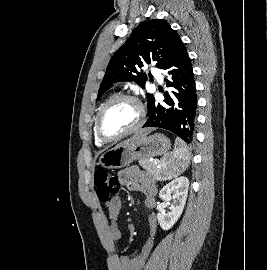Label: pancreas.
I'll return each instance as SVG.
<instances>
[{"label":"pancreas","instance_id":"obj_1","mask_svg":"<svg viewBox=\"0 0 267 270\" xmlns=\"http://www.w3.org/2000/svg\"><path fill=\"white\" fill-rule=\"evenodd\" d=\"M139 164L142 168H144L149 174H151L154 179H157L160 175V170L158 169L159 162L155 163V161L151 162L149 159L139 160Z\"/></svg>","mask_w":267,"mask_h":270}]
</instances>
